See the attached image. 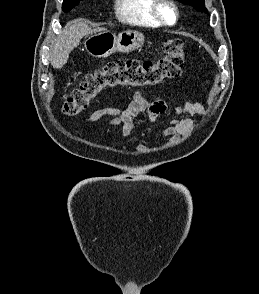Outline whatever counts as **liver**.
Masks as SVG:
<instances>
[{
	"label": "liver",
	"instance_id": "liver-1",
	"mask_svg": "<svg viewBox=\"0 0 259 294\" xmlns=\"http://www.w3.org/2000/svg\"><path fill=\"white\" fill-rule=\"evenodd\" d=\"M101 30L103 29H92L81 19L67 23L53 45L50 55L51 65L56 69H61L67 63L70 52L79 45L84 36Z\"/></svg>",
	"mask_w": 259,
	"mask_h": 294
}]
</instances>
